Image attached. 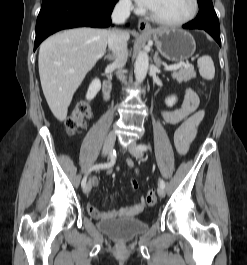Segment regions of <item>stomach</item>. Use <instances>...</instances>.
Masks as SVG:
<instances>
[{"instance_id": "0dacf381", "label": "stomach", "mask_w": 247, "mask_h": 265, "mask_svg": "<svg viewBox=\"0 0 247 265\" xmlns=\"http://www.w3.org/2000/svg\"><path fill=\"white\" fill-rule=\"evenodd\" d=\"M153 37L158 51L169 61L180 62L190 58L196 43L193 36L182 29L157 28L149 33Z\"/></svg>"}]
</instances>
